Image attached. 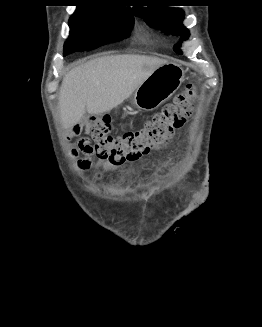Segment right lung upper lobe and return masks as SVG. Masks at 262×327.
Here are the masks:
<instances>
[{"label":"right lung upper lobe","mask_w":262,"mask_h":327,"mask_svg":"<svg viewBox=\"0 0 262 327\" xmlns=\"http://www.w3.org/2000/svg\"><path fill=\"white\" fill-rule=\"evenodd\" d=\"M82 5L77 6V8H89V9H100L116 12H124L132 14L131 8H125L123 6L110 5L112 0H79Z\"/></svg>","instance_id":"right-lung-upper-lobe-1"}]
</instances>
